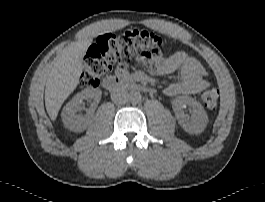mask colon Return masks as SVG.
<instances>
[{
  "mask_svg": "<svg viewBox=\"0 0 265 202\" xmlns=\"http://www.w3.org/2000/svg\"><path fill=\"white\" fill-rule=\"evenodd\" d=\"M165 45L164 38L146 29L130 28L118 34L101 35L85 57L81 86L95 88L113 65L123 67L131 61L150 65ZM199 98L206 108L215 109L219 92L215 87L206 88Z\"/></svg>",
  "mask_w": 265,
  "mask_h": 202,
  "instance_id": "colon-1",
  "label": "colon"
}]
</instances>
